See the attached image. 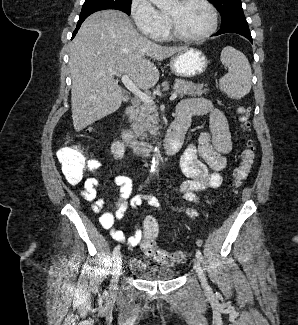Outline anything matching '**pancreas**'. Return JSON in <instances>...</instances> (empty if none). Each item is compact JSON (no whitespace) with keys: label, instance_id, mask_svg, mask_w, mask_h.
Wrapping results in <instances>:
<instances>
[{"label":"pancreas","instance_id":"obj_1","mask_svg":"<svg viewBox=\"0 0 298 325\" xmlns=\"http://www.w3.org/2000/svg\"><path fill=\"white\" fill-rule=\"evenodd\" d=\"M174 86H176L179 98H183V96H202V94L209 92V88H205V86H208L207 82H192V80H184V78H174ZM131 116L133 130L138 136L157 134L159 116L155 104L143 102Z\"/></svg>","mask_w":298,"mask_h":325}]
</instances>
